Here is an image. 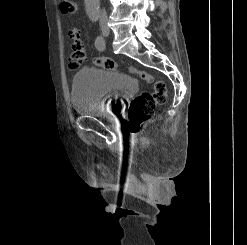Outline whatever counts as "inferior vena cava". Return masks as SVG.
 <instances>
[{
    "label": "inferior vena cava",
    "instance_id": "602c4592",
    "mask_svg": "<svg viewBox=\"0 0 247 245\" xmlns=\"http://www.w3.org/2000/svg\"><path fill=\"white\" fill-rule=\"evenodd\" d=\"M106 24H107V13L105 10H102L100 14V25L102 27H106Z\"/></svg>",
    "mask_w": 247,
    "mask_h": 245
}]
</instances>
